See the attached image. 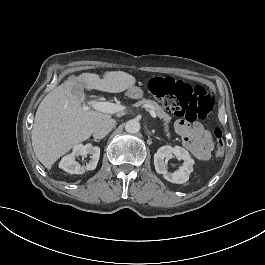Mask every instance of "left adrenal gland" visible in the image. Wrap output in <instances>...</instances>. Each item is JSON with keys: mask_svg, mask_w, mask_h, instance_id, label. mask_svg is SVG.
<instances>
[{"mask_svg": "<svg viewBox=\"0 0 265 265\" xmlns=\"http://www.w3.org/2000/svg\"><path fill=\"white\" fill-rule=\"evenodd\" d=\"M153 133H154V130H153ZM156 139L161 140L159 137H156Z\"/></svg>", "mask_w": 265, "mask_h": 265, "instance_id": "a2214340", "label": "left adrenal gland"}]
</instances>
